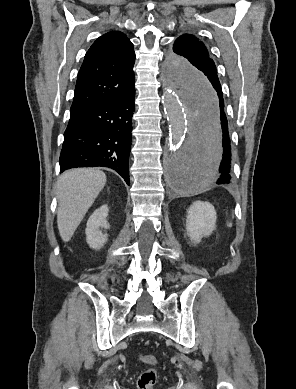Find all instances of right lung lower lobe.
I'll list each match as a JSON object with an SVG mask.
<instances>
[{
    "label": "right lung lower lobe",
    "mask_w": 296,
    "mask_h": 389,
    "mask_svg": "<svg viewBox=\"0 0 296 389\" xmlns=\"http://www.w3.org/2000/svg\"><path fill=\"white\" fill-rule=\"evenodd\" d=\"M135 86L119 97L70 115L60 154V171L109 167L130 184L129 154Z\"/></svg>",
    "instance_id": "obj_1"
}]
</instances>
